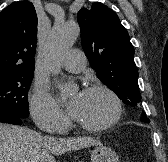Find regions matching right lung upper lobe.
<instances>
[{
  "label": "right lung upper lobe",
  "mask_w": 168,
  "mask_h": 162,
  "mask_svg": "<svg viewBox=\"0 0 168 162\" xmlns=\"http://www.w3.org/2000/svg\"><path fill=\"white\" fill-rule=\"evenodd\" d=\"M37 22L28 1L15 2L0 13V78L34 71Z\"/></svg>",
  "instance_id": "obj_1"
}]
</instances>
